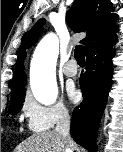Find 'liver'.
Returning a JSON list of instances; mask_svg holds the SVG:
<instances>
[{
	"instance_id": "obj_1",
	"label": "liver",
	"mask_w": 123,
	"mask_h": 152,
	"mask_svg": "<svg viewBox=\"0 0 123 152\" xmlns=\"http://www.w3.org/2000/svg\"><path fill=\"white\" fill-rule=\"evenodd\" d=\"M70 147L75 148L71 140ZM14 152H66L63 138L55 131L33 134L17 146Z\"/></svg>"
}]
</instances>
